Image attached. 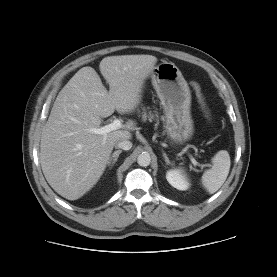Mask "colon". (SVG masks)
I'll return each mask as SVG.
<instances>
[{
	"label": "colon",
	"mask_w": 277,
	"mask_h": 277,
	"mask_svg": "<svg viewBox=\"0 0 277 277\" xmlns=\"http://www.w3.org/2000/svg\"><path fill=\"white\" fill-rule=\"evenodd\" d=\"M192 85H193V87H194V89H195V91L197 93L198 99H199V101H200V103H201V105H202L206 115L209 117L210 113H209V110H208V108L206 106L204 97H203V95L201 93L200 86L197 83H192Z\"/></svg>",
	"instance_id": "obj_1"
}]
</instances>
